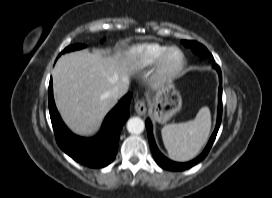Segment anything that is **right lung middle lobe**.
Masks as SVG:
<instances>
[{
	"mask_svg": "<svg viewBox=\"0 0 272 198\" xmlns=\"http://www.w3.org/2000/svg\"><path fill=\"white\" fill-rule=\"evenodd\" d=\"M85 47V45H81V44H75V45H71V46H68L64 49V51L61 52L62 53H65V52H69V51H74V50H77V49H81ZM60 54V55H61Z\"/></svg>",
	"mask_w": 272,
	"mask_h": 198,
	"instance_id": "1",
	"label": "right lung middle lobe"
}]
</instances>
